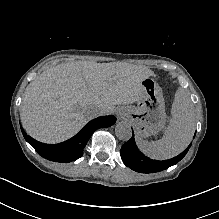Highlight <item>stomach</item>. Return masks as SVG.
<instances>
[{
  "label": "stomach",
  "mask_w": 219,
  "mask_h": 219,
  "mask_svg": "<svg viewBox=\"0 0 219 219\" xmlns=\"http://www.w3.org/2000/svg\"><path fill=\"white\" fill-rule=\"evenodd\" d=\"M142 96L136 106H125L121 113L133 124L139 137L145 138L161 131L166 123L162 89L153 78L142 81Z\"/></svg>",
  "instance_id": "0dacf381"
}]
</instances>
